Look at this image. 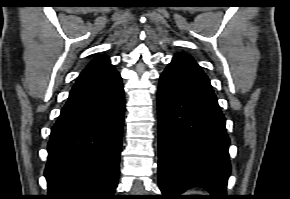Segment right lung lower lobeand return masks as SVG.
<instances>
[{"mask_svg": "<svg viewBox=\"0 0 290 199\" xmlns=\"http://www.w3.org/2000/svg\"><path fill=\"white\" fill-rule=\"evenodd\" d=\"M123 120L121 78L68 98L48 143L46 199H114Z\"/></svg>", "mask_w": 290, "mask_h": 199, "instance_id": "right-lung-lower-lobe-1", "label": "right lung lower lobe"}]
</instances>
